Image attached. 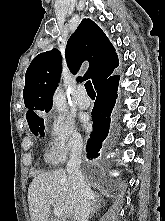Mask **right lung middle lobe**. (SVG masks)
Instances as JSON below:
<instances>
[{
	"label": "right lung middle lobe",
	"instance_id": "dd1d6c3e",
	"mask_svg": "<svg viewBox=\"0 0 165 221\" xmlns=\"http://www.w3.org/2000/svg\"><path fill=\"white\" fill-rule=\"evenodd\" d=\"M30 130L33 132V134L38 135L41 134V136H44V120L43 118H37L34 121H31L28 123Z\"/></svg>",
	"mask_w": 165,
	"mask_h": 221
}]
</instances>
